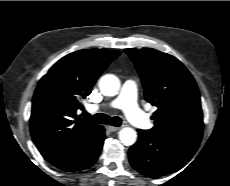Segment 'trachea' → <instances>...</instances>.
<instances>
[{
  "mask_svg": "<svg viewBox=\"0 0 230 186\" xmlns=\"http://www.w3.org/2000/svg\"><path fill=\"white\" fill-rule=\"evenodd\" d=\"M82 117H84L85 119L93 122V123H97V124H110L112 126H116L119 127L122 123L121 118L119 117H110L106 114L103 113H97L95 115H90L87 112H84L82 114Z\"/></svg>",
  "mask_w": 230,
  "mask_h": 186,
  "instance_id": "3493384b",
  "label": "trachea"
}]
</instances>
